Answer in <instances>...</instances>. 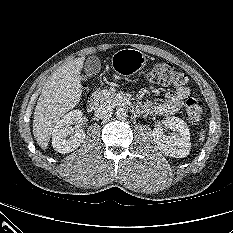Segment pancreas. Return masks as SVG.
Segmentation results:
<instances>
[{"label":"pancreas","mask_w":233,"mask_h":233,"mask_svg":"<svg viewBox=\"0 0 233 233\" xmlns=\"http://www.w3.org/2000/svg\"><path fill=\"white\" fill-rule=\"evenodd\" d=\"M94 96L101 102L108 103L110 105H116L119 100L117 94L112 90H97Z\"/></svg>","instance_id":"pancreas-1"}]
</instances>
